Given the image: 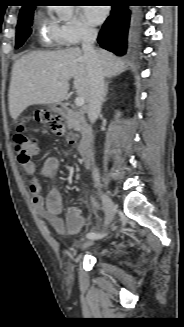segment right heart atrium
Wrapping results in <instances>:
<instances>
[{
    "mask_svg": "<svg viewBox=\"0 0 184 327\" xmlns=\"http://www.w3.org/2000/svg\"><path fill=\"white\" fill-rule=\"evenodd\" d=\"M95 28L73 11L68 19L55 25L54 40L63 46H75L95 35Z\"/></svg>",
    "mask_w": 184,
    "mask_h": 327,
    "instance_id": "obj_1",
    "label": "right heart atrium"
}]
</instances>
